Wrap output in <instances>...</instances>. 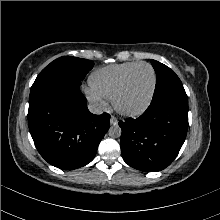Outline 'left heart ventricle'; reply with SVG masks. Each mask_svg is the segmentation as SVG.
<instances>
[{"label": "left heart ventricle", "instance_id": "obj_1", "mask_svg": "<svg viewBox=\"0 0 220 220\" xmlns=\"http://www.w3.org/2000/svg\"><path fill=\"white\" fill-rule=\"evenodd\" d=\"M152 87V72L147 66H140L131 75L122 94L119 105L125 110L139 108L147 100Z\"/></svg>", "mask_w": 220, "mask_h": 220}]
</instances>
